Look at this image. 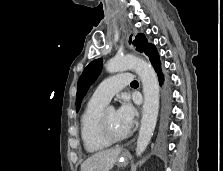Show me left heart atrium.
Returning <instances> with one entry per match:
<instances>
[{
	"mask_svg": "<svg viewBox=\"0 0 223 171\" xmlns=\"http://www.w3.org/2000/svg\"><path fill=\"white\" fill-rule=\"evenodd\" d=\"M117 119L122 127L129 132L135 122V109L128 101H124L116 111Z\"/></svg>",
	"mask_w": 223,
	"mask_h": 171,
	"instance_id": "1",
	"label": "left heart atrium"
}]
</instances>
